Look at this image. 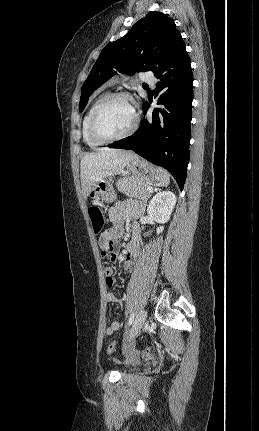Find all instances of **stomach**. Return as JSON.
Returning <instances> with one entry per match:
<instances>
[{
  "mask_svg": "<svg viewBox=\"0 0 259 431\" xmlns=\"http://www.w3.org/2000/svg\"><path fill=\"white\" fill-rule=\"evenodd\" d=\"M126 171L134 178H138L148 185L157 184L160 181L157 168L139 157L126 165ZM88 196L93 200H102L107 203L116 199L114 188L107 180L96 183L89 191Z\"/></svg>",
  "mask_w": 259,
  "mask_h": 431,
  "instance_id": "1",
  "label": "stomach"
}]
</instances>
